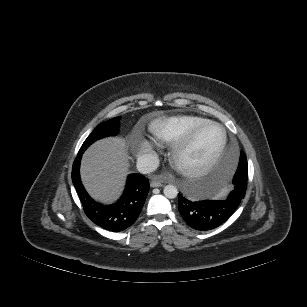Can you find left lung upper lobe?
I'll return each instance as SVG.
<instances>
[{
	"label": "left lung upper lobe",
	"instance_id": "obj_1",
	"mask_svg": "<svg viewBox=\"0 0 307 307\" xmlns=\"http://www.w3.org/2000/svg\"><path fill=\"white\" fill-rule=\"evenodd\" d=\"M248 179V170L245 171L243 168H240L238 165V169L234 175L233 181L240 182L243 188H246Z\"/></svg>",
	"mask_w": 307,
	"mask_h": 307
}]
</instances>
